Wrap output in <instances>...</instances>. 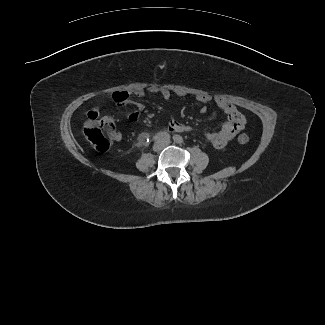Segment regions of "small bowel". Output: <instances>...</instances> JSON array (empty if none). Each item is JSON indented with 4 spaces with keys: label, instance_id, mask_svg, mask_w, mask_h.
<instances>
[{
    "label": "small bowel",
    "instance_id": "obj_1",
    "mask_svg": "<svg viewBox=\"0 0 325 325\" xmlns=\"http://www.w3.org/2000/svg\"><path fill=\"white\" fill-rule=\"evenodd\" d=\"M147 93L159 95L161 98L168 100L172 96V92L161 86H151L146 91L142 89H136L130 92L122 91L113 94V100L120 106L125 105L129 102L130 97L144 98ZM177 96H185L184 91L178 90L174 92ZM194 98L201 104L206 105L211 101V97L206 94H196ZM216 105L227 114L228 119L221 125L218 131H210L205 133L206 139L218 149L224 148L228 143L244 128L246 124L245 115L240 112L233 104L225 100L224 98L218 97L215 99ZM89 111H94L98 115L101 113V106L93 107ZM145 107L142 103L134 102L131 103L130 110L127 117L130 121H138L144 114ZM207 108L203 106L201 112L205 113ZM168 130L172 133H184L189 132L191 127L180 123L174 119L171 115L168 122ZM121 138V135H117Z\"/></svg>",
    "mask_w": 325,
    "mask_h": 325
}]
</instances>
